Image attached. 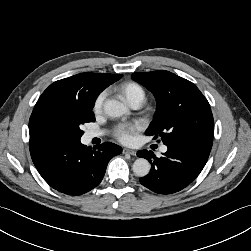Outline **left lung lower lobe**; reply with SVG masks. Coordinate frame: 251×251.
<instances>
[{"label":"left lung lower lobe","mask_w":251,"mask_h":251,"mask_svg":"<svg viewBox=\"0 0 251 251\" xmlns=\"http://www.w3.org/2000/svg\"><path fill=\"white\" fill-rule=\"evenodd\" d=\"M163 156L156 157L152 151L141 150L138 157L151 163V171L140 183L159 194H171L187 187L200 174L209 157L212 141L194 139L190 142L166 145Z\"/></svg>","instance_id":"obj_1"}]
</instances>
